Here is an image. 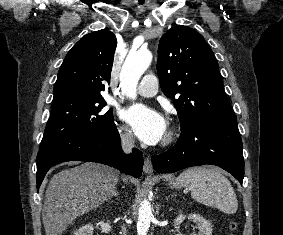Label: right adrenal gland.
<instances>
[{"label": "right adrenal gland", "instance_id": "right-adrenal-gland-1", "mask_svg": "<svg viewBox=\"0 0 283 235\" xmlns=\"http://www.w3.org/2000/svg\"><path fill=\"white\" fill-rule=\"evenodd\" d=\"M116 196H119V192L116 190V188L113 190L112 194L109 196V200L112 198V197H116Z\"/></svg>", "mask_w": 283, "mask_h": 235}]
</instances>
